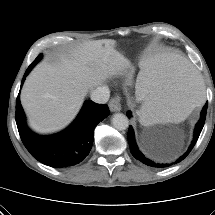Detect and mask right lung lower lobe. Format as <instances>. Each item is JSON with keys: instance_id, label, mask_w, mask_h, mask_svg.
Wrapping results in <instances>:
<instances>
[{"instance_id": "obj_1", "label": "right lung lower lobe", "mask_w": 215, "mask_h": 215, "mask_svg": "<svg viewBox=\"0 0 215 215\" xmlns=\"http://www.w3.org/2000/svg\"><path fill=\"white\" fill-rule=\"evenodd\" d=\"M32 68L30 65L26 70L21 86ZM109 114L106 104L88 100L69 127L54 135L41 136L27 127L18 95L15 119L21 140L31 155L45 165L63 168L84 160L92 148L94 128Z\"/></svg>"}]
</instances>
